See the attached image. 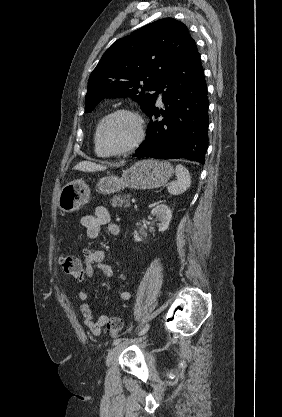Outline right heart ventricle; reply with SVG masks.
I'll return each instance as SVG.
<instances>
[{
  "label": "right heart ventricle",
  "mask_w": 282,
  "mask_h": 417,
  "mask_svg": "<svg viewBox=\"0 0 282 417\" xmlns=\"http://www.w3.org/2000/svg\"><path fill=\"white\" fill-rule=\"evenodd\" d=\"M99 130H100V125L97 128V132H96V137H95V141H96V150L100 155H105V153L101 150L99 144H98V137H99Z\"/></svg>",
  "instance_id": "e07e8e85"
}]
</instances>
